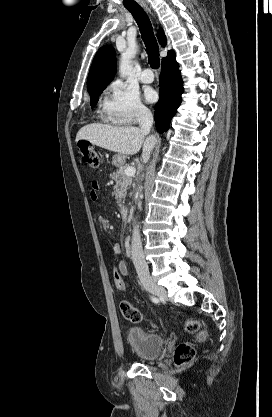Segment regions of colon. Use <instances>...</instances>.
Segmentation results:
<instances>
[{"instance_id":"1","label":"colon","mask_w":272,"mask_h":417,"mask_svg":"<svg viewBox=\"0 0 272 417\" xmlns=\"http://www.w3.org/2000/svg\"><path fill=\"white\" fill-rule=\"evenodd\" d=\"M79 153L81 160L84 163H87L91 166H98L100 162V154L95 146L90 144L86 141H81L79 143ZM113 279L115 286L118 290L124 291L125 290V281L123 276L121 275L119 269L115 267L113 272ZM121 313L123 317L131 322H139L141 320V313L139 310L127 301H123L120 305ZM185 329L190 333L198 334L200 338L204 337V333L201 331L200 324L195 320H187L185 321ZM196 351L195 349L187 344L182 343L176 347L175 354H174V361L175 363L180 366L184 367L189 365L195 358Z\"/></svg>"}]
</instances>
